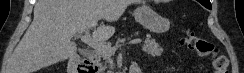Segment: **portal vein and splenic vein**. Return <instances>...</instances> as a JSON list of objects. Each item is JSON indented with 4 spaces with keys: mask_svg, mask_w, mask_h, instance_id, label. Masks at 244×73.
<instances>
[{
    "mask_svg": "<svg viewBox=\"0 0 244 73\" xmlns=\"http://www.w3.org/2000/svg\"><path fill=\"white\" fill-rule=\"evenodd\" d=\"M81 41L84 42L85 44H87L89 47L93 48L96 52L98 53H108L110 55H114L116 50L118 48H121L123 44L117 45L115 47H109L107 45H104L103 43H101L99 40L94 39L90 36L89 30H86L84 32V35L80 36ZM142 40L141 39H134L132 41L129 42V44H139L141 43Z\"/></svg>",
    "mask_w": 244,
    "mask_h": 73,
    "instance_id": "portal-vein-and-splenic-vein-1",
    "label": "portal vein and splenic vein"
}]
</instances>
